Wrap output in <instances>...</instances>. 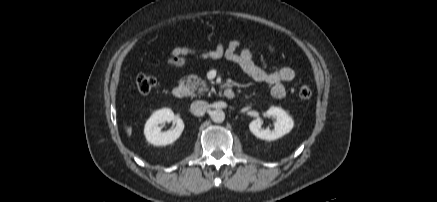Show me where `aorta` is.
Here are the masks:
<instances>
[{"mask_svg":"<svg viewBox=\"0 0 437 202\" xmlns=\"http://www.w3.org/2000/svg\"><path fill=\"white\" fill-rule=\"evenodd\" d=\"M210 117L215 123H222L225 119V113L221 109L213 110Z\"/></svg>","mask_w":437,"mask_h":202,"instance_id":"762f6f07","label":"aorta"}]
</instances>
